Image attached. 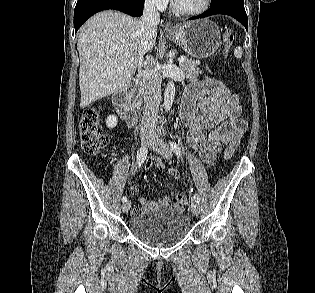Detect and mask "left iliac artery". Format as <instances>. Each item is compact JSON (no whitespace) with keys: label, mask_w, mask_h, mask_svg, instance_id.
Instances as JSON below:
<instances>
[{"label":"left iliac artery","mask_w":315,"mask_h":293,"mask_svg":"<svg viewBox=\"0 0 315 293\" xmlns=\"http://www.w3.org/2000/svg\"><path fill=\"white\" fill-rule=\"evenodd\" d=\"M170 143V146H171V149H172V151L177 155V156H181L182 155V150H181V148L179 147V145L176 143V142H174V141H171V142H169ZM194 200L196 201V202H200V197H199V195L197 194V193H195L194 194Z\"/></svg>","instance_id":"left-iliac-artery-1"}]
</instances>
